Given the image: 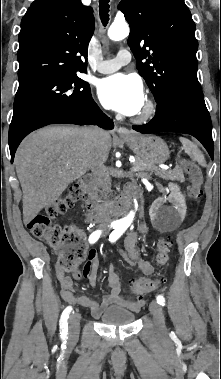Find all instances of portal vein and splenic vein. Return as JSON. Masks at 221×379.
I'll return each mask as SVG.
<instances>
[{
  "label": "portal vein and splenic vein",
  "mask_w": 221,
  "mask_h": 379,
  "mask_svg": "<svg viewBox=\"0 0 221 379\" xmlns=\"http://www.w3.org/2000/svg\"><path fill=\"white\" fill-rule=\"evenodd\" d=\"M130 162H131V163H134L135 160H131V159H130ZM160 168H161L162 170H168V166H160ZM135 170H136V168H135V167H132V171H135Z\"/></svg>",
  "instance_id": "1"
}]
</instances>
